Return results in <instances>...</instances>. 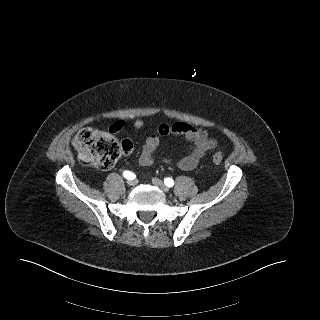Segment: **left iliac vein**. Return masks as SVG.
Listing matches in <instances>:
<instances>
[{"label":"left iliac vein","instance_id":"1","mask_svg":"<svg viewBox=\"0 0 320 320\" xmlns=\"http://www.w3.org/2000/svg\"><path fill=\"white\" fill-rule=\"evenodd\" d=\"M152 183L164 192H169V188L158 178H153Z\"/></svg>","mask_w":320,"mask_h":320}]
</instances>
